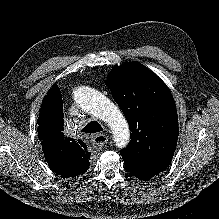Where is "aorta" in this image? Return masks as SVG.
I'll use <instances>...</instances> for the list:
<instances>
[{
    "instance_id": "obj_1",
    "label": "aorta",
    "mask_w": 219,
    "mask_h": 219,
    "mask_svg": "<svg viewBox=\"0 0 219 219\" xmlns=\"http://www.w3.org/2000/svg\"><path fill=\"white\" fill-rule=\"evenodd\" d=\"M75 102L86 112L104 121L111 129L118 147H125L130 138L128 123L119 110L106 96L88 86L73 91Z\"/></svg>"
}]
</instances>
